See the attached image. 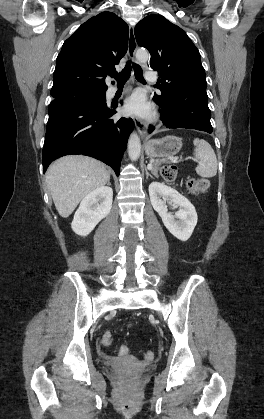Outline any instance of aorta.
Masks as SVG:
<instances>
[{"label": "aorta", "instance_id": "obj_1", "mask_svg": "<svg viewBox=\"0 0 264 419\" xmlns=\"http://www.w3.org/2000/svg\"><path fill=\"white\" fill-rule=\"evenodd\" d=\"M136 59L139 62H147L149 59V53L145 49H139L136 52ZM141 153V142L138 134L136 132H133L130 135L129 141H128V154L129 157L132 160H137Z\"/></svg>", "mask_w": 264, "mask_h": 419}]
</instances>
